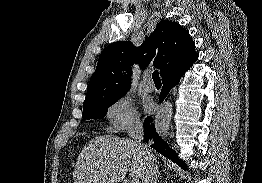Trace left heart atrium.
I'll return each mask as SVG.
<instances>
[{
	"label": "left heart atrium",
	"instance_id": "39dd6f15",
	"mask_svg": "<svg viewBox=\"0 0 262 183\" xmlns=\"http://www.w3.org/2000/svg\"><path fill=\"white\" fill-rule=\"evenodd\" d=\"M145 108L147 111L151 110V103H146Z\"/></svg>",
	"mask_w": 262,
	"mask_h": 183
}]
</instances>
